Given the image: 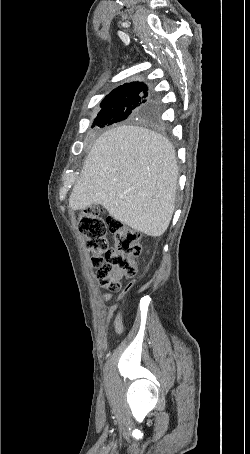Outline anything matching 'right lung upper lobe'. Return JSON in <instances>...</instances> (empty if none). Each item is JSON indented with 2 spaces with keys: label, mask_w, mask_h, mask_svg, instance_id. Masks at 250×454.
<instances>
[{
  "label": "right lung upper lobe",
  "mask_w": 250,
  "mask_h": 454,
  "mask_svg": "<svg viewBox=\"0 0 250 454\" xmlns=\"http://www.w3.org/2000/svg\"><path fill=\"white\" fill-rule=\"evenodd\" d=\"M141 85H145L144 83L142 82H131V83H125L124 85L122 86H119L117 87L116 89H114L109 95H107L105 98H112V97H115V96H119L121 93H124L126 92L127 90L129 89H132L136 86H141Z\"/></svg>",
  "instance_id": "cb5924a9"
}]
</instances>
